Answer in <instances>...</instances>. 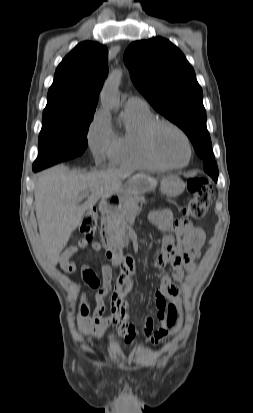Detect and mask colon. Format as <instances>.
<instances>
[{"label":"colon","instance_id":"obj_1","mask_svg":"<svg viewBox=\"0 0 253 413\" xmlns=\"http://www.w3.org/2000/svg\"><path fill=\"white\" fill-rule=\"evenodd\" d=\"M188 190L192 194L191 199L184 208L183 214L186 218L201 219L203 218L211 203L212 187L210 182L202 177L190 179L188 181ZM187 220V219H185ZM98 216L96 211L87 212L82 218L79 226L80 232L85 236V241L90 242L97 229ZM89 312V305L83 303L81 306V314L87 315ZM163 314V312H162ZM167 327H172L177 319V312L172 304L167 307L166 314ZM167 333L166 329L155 334L157 339L162 338Z\"/></svg>","mask_w":253,"mask_h":413}]
</instances>
